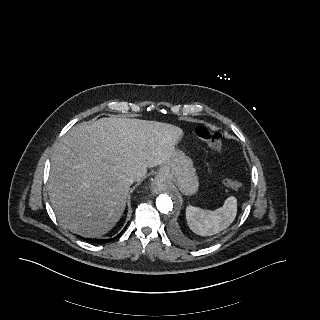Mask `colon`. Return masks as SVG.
Segmentation results:
<instances>
[{
	"mask_svg": "<svg viewBox=\"0 0 320 320\" xmlns=\"http://www.w3.org/2000/svg\"><path fill=\"white\" fill-rule=\"evenodd\" d=\"M198 137L205 140L208 145L216 150L220 151L222 149V135L219 131L211 130L204 125H200L195 129ZM223 183L228 188H239L241 183L237 180L225 178Z\"/></svg>",
	"mask_w": 320,
	"mask_h": 320,
	"instance_id": "1",
	"label": "colon"
}]
</instances>
